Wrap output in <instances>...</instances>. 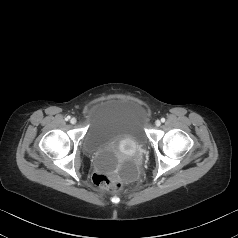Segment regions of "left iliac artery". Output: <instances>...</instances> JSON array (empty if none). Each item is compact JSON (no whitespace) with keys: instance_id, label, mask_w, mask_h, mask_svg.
I'll list each match as a JSON object with an SVG mask.
<instances>
[{"instance_id":"44dca946","label":"left iliac artery","mask_w":238,"mask_h":238,"mask_svg":"<svg viewBox=\"0 0 238 238\" xmlns=\"http://www.w3.org/2000/svg\"><path fill=\"white\" fill-rule=\"evenodd\" d=\"M161 121H162V122H165V118H162Z\"/></svg>"}]
</instances>
